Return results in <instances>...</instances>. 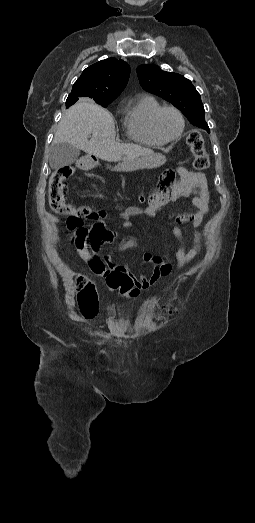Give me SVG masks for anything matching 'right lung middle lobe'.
<instances>
[{
    "label": "right lung middle lobe",
    "instance_id": "right-lung-middle-lobe-1",
    "mask_svg": "<svg viewBox=\"0 0 255 523\" xmlns=\"http://www.w3.org/2000/svg\"><path fill=\"white\" fill-rule=\"evenodd\" d=\"M112 101H107V102H97L99 105H101L102 107H107Z\"/></svg>",
    "mask_w": 255,
    "mask_h": 523
}]
</instances>
